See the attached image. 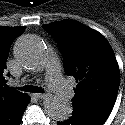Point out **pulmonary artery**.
<instances>
[{
    "label": "pulmonary artery",
    "instance_id": "1",
    "mask_svg": "<svg viewBox=\"0 0 125 125\" xmlns=\"http://www.w3.org/2000/svg\"><path fill=\"white\" fill-rule=\"evenodd\" d=\"M46 79L49 86L62 100H70L73 98L74 92L60 74L59 64L57 61L50 60L48 62Z\"/></svg>",
    "mask_w": 125,
    "mask_h": 125
}]
</instances>
